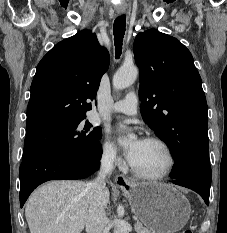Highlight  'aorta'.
<instances>
[{"instance_id": "1", "label": "aorta", "mask_w": 227, "mask_h": 233, "mask_svg": "<svg viewBox=\"0 0 227 233\" xmlns=\"http://www.w3.org/2000/svg\"><path fill=\"white\" fill-rule=\"evenodd\" d=\"M138 76V69L134 66L121 67L113 77V87L116 90H121L132 85ZM132 138V135H130ZM127 140L125 139L122 144L125 145ZM114 233H120L118 229L114 230Z\"/></svg>"}]
</instances>
